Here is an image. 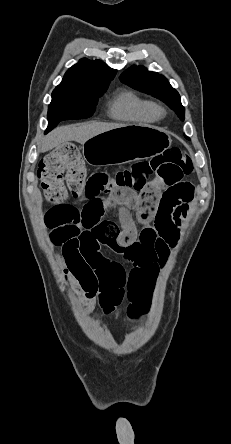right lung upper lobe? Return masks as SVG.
<instances>
[{"label": "right lung upper lobe", "instance_id": "cb5924a9", "mask_svg": "<svg viewBox=\"0 0 231 444\" xmlns=\"http://www.w3.org/2000/svg\"><path fill=\"white\" fill-rule=\"evenodd\" d=\"M115 74L116 70L109 68L102 61L83 58L65 73L55 90L91 92L107 89Z\"/></svg>", "mask_w": 231, "mask_h": 444}]
</instances>
